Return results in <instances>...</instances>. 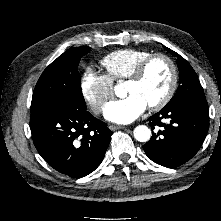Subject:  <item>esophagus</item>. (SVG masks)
<instances>
[{
  "label": "esophagus",
  "mask_w": 221,
  "mask_h": 221,
  "mask_svg": "<svg viewBox=\"0 0 221 221\" xmlns=\"http://www.w3.org/2000/svg\"><path fill=\"white\" fill-rule=\"evenodd\" d=\"M126 128L125 126H121V125H109V129L111 131H115V130H118V129H124Z\"/></svg>",
  "instance_id": "obj_1"
}]
</instances>
